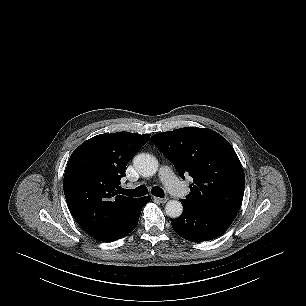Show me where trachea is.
Returning <instances> with one entry per match:
<instances>
[{
	"mask_svg": "<svg viewBox=\"0 0 306 306\" xmlns=\"http://www.w3.org/2000/svg\"><path fill=\"white\" fill-rule=\"evenodd\" d=\"M119 192L123 195H127L130 197H141L148 193V190L145 186H138L135 189H123L120 188ZM152 195L156 197L163 198L164 197V191L160 187H153L151 189Z\"/></svg>",
	"mask_w": 306,
	"mask_h": 306,
	"instance_id": "1",
	"label": "trachea"
}]
</instances>
